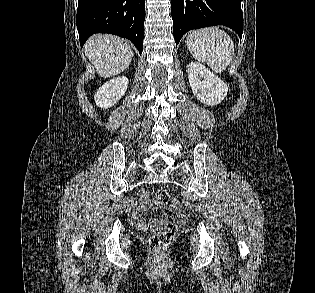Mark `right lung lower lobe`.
<instances>
[{"instance_id":"obj_1","label":"right lung lower lobe","mask_w":315,"mask_h":293,"mask_svg":"<svg viewBox=\"0 0 315 293\" xmlns=\"http://www.w3.org/2000/svg\"><path fill=\"white\" fill-rule=\"evenodd\" d=\"M145 0H78L77 30L81 47L95 33L129 39L143 50Z\"/></svg>"}]
</instances>
